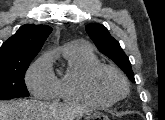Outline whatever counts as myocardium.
<instances>
[{
    "mask_svg": "<svg viewBox=\"0 0 165 120\" xmlns=\"http://www.w3.org/2000/svg\"><path fill=\"white\" fill-rule=\"evenodd\" d=\"M104 71H110L116 74L123 83V91L120 95H107L100 91L97 86V80L100 74ZM86 89L88 93L95 99L104 103H115L126 96L129 90V83L123 72L114 65L99 63L95 65L87 74L86 77Z\"/></svg>",
    "mask_w": 165,
    "mask_h": 120,
    "instance_id": "obj_1",
    "label": "myocardium"
}]
</instances>
